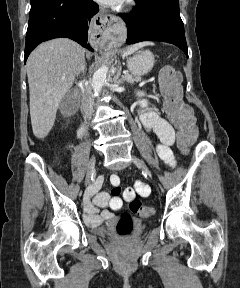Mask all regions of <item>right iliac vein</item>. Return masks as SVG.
Masks as SVG:
<instances>
[{"label":"right iliac vein","instance_id":"1","mask_svg":"<svg viewBox=\"0 0 240 288\" xmlns=\"http://www.w3.org/2000/svg\"><path fill=\"white\" fill-rule=\"evenodd\" d=\"M95 162H96L95 156H92V158L89 161L88 168H87V174H86V178H85V185L86 186L91 181V177H92V174H93L94 169H95Z\"/></svg>","mask_w":240,"mask_h":288}]
</instances>
